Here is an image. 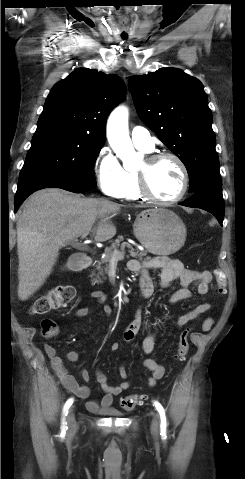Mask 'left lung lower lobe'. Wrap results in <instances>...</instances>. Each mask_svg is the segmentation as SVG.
Returning <instances> with one entry per match:
<instances>
[{
  "instance_id": "left-lung-lower-lobe-1",
  "label": "left lung lower lobe",
  "mask_w": 245,
  "mask_h": 479,
  "mask_svg": "<svg viewBox=\"0 0 245 479\" xmlns=\"http://www.w3.org/2000/svg\"><path fill=\"white\" fill-rule=\"evenodd\" d=\"M180 205L195 207L212 213L222 225L224 219V200L220 179L211 181L198 189L194 196Z\"/></svg>"
}]
</instances>
